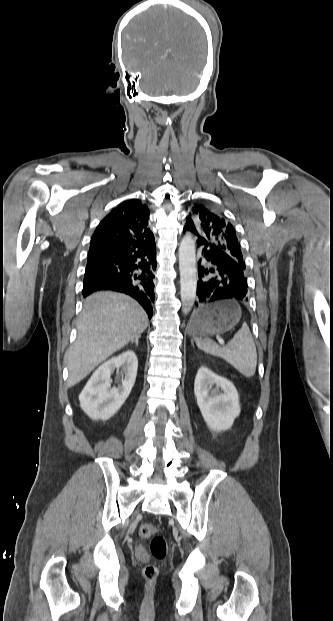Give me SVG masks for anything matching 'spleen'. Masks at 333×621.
Masks as SVG:
<instances>
[{"label": "spleen", "instance_id": "obj_1", "mask_svg": "<svg viewBox=\"0 0 333 621\" xmlns=\"http://www.w3.org/2000/svg\"><path fill=\"white\" fill-rule=\"evenodd\" d=\"M197 347L207 354L218 356L232 365L245 377H252L256 372L257 351L247 324L234 335L226 347L218 346L210 339L194 337Z\"/></svg>", "mask_w": 333, "mask_h": 621}]
</instances>
